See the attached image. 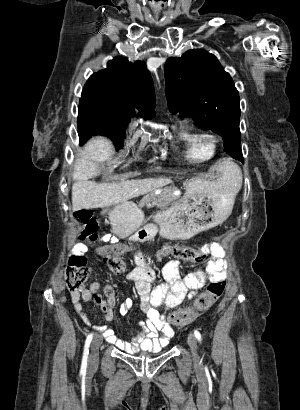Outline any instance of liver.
<instances>
[{
	"label": "liver",
	"mask_w": 300,
	"mask_h": 410,
	"mask_svg": "<svg viewBox=\"0 0 300 410\" xmlns=\"http://www.w3.org/2000/svg\"><path fill=\"white\" fill-rule=\"evenodd\" d=\"M114 153L111 141L93 137L84 146L74 165L72 208H104L128 201L171 183L168 178H147L113 183H96L89 178L98 171L97 163L108 161Z\"/></svg>",
	"instance_id": "1"
}]
</instances>
